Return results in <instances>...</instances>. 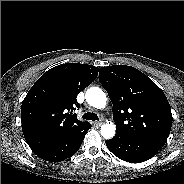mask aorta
Instances as JSON below:
<instances>
[{
    "mask_svg": "<svg viewBox=\"0 0 184 184\" xmlns=\"http://www.w3.org/2000/svg\"><path fill=\"white\" fill-rule=\"evenodd\" d=\"M86 101L94 108L103 109L107 104V97L102 89L92 87L86 91ZM115 131L116 127L112 122L103 124L100 129L101 135L106 139L112 138L115 135Z\"/></svg>",
    "mask_w": 184,
    "mask_h": 184,
    "instance_id": "762f6f07",
    "label": "aorta"
}]
</instances>
